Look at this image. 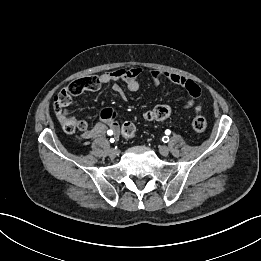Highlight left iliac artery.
Here are the masks:
<instances>
[{"label":"left iliac artery","instance_id":"1","mask_svg":"<svg viewBox=\"0 0 261 261\" xmlns=\"http://www.w3.org/2000/svg\"><path fill=\"white\" fill-rule=\"evenodd\" d=\"M170 133H171V131L169 129H167L165 131L166 135H169ZM162 140H163V142L167 143L169 141V137L168 136H164Z\"/></svg>","mask_w":261,"mask_h":261}]
</instances>
